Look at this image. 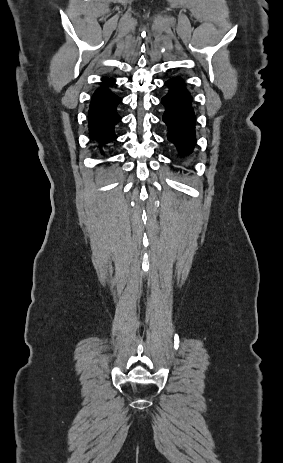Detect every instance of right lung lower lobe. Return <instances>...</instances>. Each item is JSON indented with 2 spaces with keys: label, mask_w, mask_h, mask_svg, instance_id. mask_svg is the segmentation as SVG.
<instances>
[{
  "label": "right lung lower lobe",
  "mask_w": 283,
  "mask_h": 463,
  "mask_svg": "<svg viewBox=\"0 0 283 463\" xmlns=\"http://www.w3.org/2000/svg\"><path fill=\"white\" fill-rule=\"evenodd\" d=\"M102 87L95 91L89 109L90 134L100 143H108L116 139L114 126L120 121L116 106L121 98L109 91L105 86L115 82L114 78H103Z\"/></svg>",
  "instance_id": "98d812e1"
}]
</instances>
